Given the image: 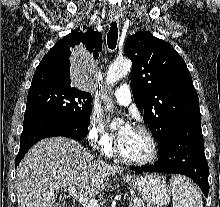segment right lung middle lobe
<instances>
[{
    "label": "right lung middle lobe",
    "instance_id": "right-lung-middle-lobe-1",
    "mask_svg": "<svg viewBox=\"0 0 220 207\" xmlns=\"http://www.w3.org/2000/svg\"><path fill=\"white\" fill-rule=\"evenodd\" d=\"M92 96L72 86H31L24 119L43 115L89 124Z\"/></svg>",
    "mask_w": 220,
    "mask_h": 207
}]
</instances>
